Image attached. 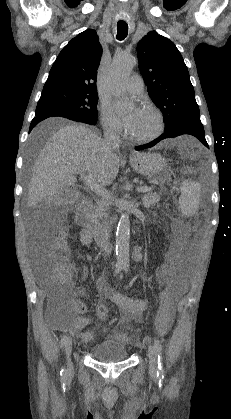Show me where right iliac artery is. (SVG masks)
<instances>
[{
    "label": "right iliac artery",
    "mask_w": 231,
    "mask_h": 419,
    "mask_svg": "<svg viewBox=\"0 0 231 419\" xmlns=\"http://www.w3.org/2000/svg\"><path fill=\"white\" fill-rule=\"evenodd\" d=\"M121 269H122V265H116V269H115V275H117L120 271H121ZM66 341H67V336L66 335H64L63 337H62V339H61V347L62 346H64L65 345V343H66ZM60 375H61V378L62 379H65V377H66V371H65V369L64 368H62L61 369V371H60Z\"/></svg>",
    "instance_id": "82829eb1"
}]
</instances>
